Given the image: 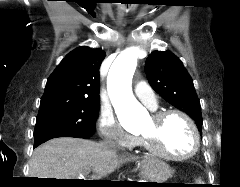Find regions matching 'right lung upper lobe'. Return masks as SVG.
<instances>
[{"mask_svg":"<svg viewBox=\"0 0 240 187\" xmlns=\"http://www.w3.org/2000/svg\"><path fill=\"white\" fill-rule=\"evenodd\" d=\"M105 52L81 46L71 51L48 78L40 106L63 102H100L99 68Z\"/></svg>","mask_w":240,"mask_h":187,"instance_id":"right-lung-upper-lobe-1","label":"right lung upper lobe"}]
</instances>
